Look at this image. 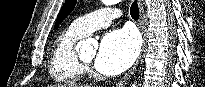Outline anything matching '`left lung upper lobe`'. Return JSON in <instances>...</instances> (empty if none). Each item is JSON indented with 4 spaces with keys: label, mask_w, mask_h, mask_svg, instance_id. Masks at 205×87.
<instances>
[{
    "label": "left lung upper lobe",
    "mask_w": 205,
    "mask_h": 87,
    "mask_svg": "<svg viewBox=\"0 0 205 87\" xmlns=\"http://www.w3.org/2000/svg\"><path fill=\"white\" fill-rule=\"evenodd\" d=\"M76 4V0H66L64 5L62 6V9L60 10V13L56 19L55 27L56 29L58 25L66 18L67 15H69L72 10L74 9Z\"/></svg>",
    "instance_id": "obj_1"
}]
</instances>
